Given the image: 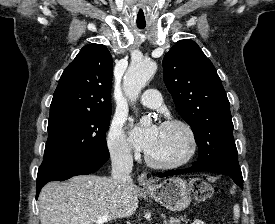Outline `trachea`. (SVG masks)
Returning a JSON list of instances; mask_svg holds the SVG:
<instances>
[{"label": "trachea", "mask_w": 275, "mask_h": 224, "mask_svg": "<svg viewBox=\"0 0 275 224\" xmlns=\"http://www.w3.org/2000/svg\"><path fill=\"white\" fill-rule=\"evenodd\" d=\"M138 28H139V29H143V28H144V26H138Z\"/></svg>", "instance_id": "1"}]
</instances>
